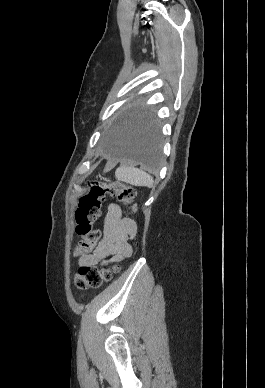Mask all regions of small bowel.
<instances>
[{
    "label": "small bowel",
    "mask_w": 265,
    "mask_h": 388,
    "mask_svg": "<svg viewBox=\"0 0 265 388\" xmlns=\"http://www.w3.org/2000/svg\"><path fill=\"white\" fill-rule=\"evenodd\" d=\"M136 233V223L130 218H123L117 204H110L103 223V236L92 253L78 258L79 266L106 265L131 256L129 240Z\"/></svg>",
    "instance_id": "1"
}]
</instances>
